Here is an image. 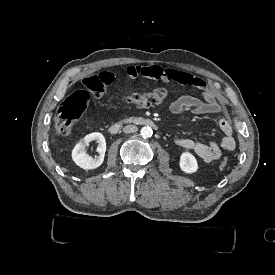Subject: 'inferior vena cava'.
<instances>
[{
	"instance_id": "1",
	"label": "inferior vena cava",
	"mask_w": 275,
	"mask_h": 275,
	"mask_svg": "<svg viewBox=\"0 0 275 275\" xmlns=\"http://www.w3.org/2000/svg\"><path fill=\"white\" fill-rule=\"evenodd\" d=\"M137 130H138V128L135 125H126L123 128L124 133H135V132H137Z\"/></svg>"
}]
</instances>
